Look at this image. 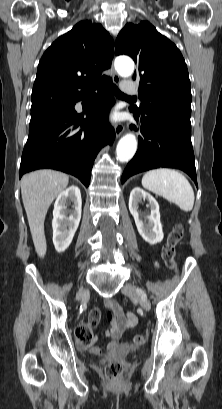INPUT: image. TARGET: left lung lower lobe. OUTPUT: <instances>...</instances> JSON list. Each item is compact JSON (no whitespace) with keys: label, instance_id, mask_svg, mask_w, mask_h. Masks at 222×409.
<instances>
[{"label":"left lung lower lobe","instance_id":"left-lung-lower-lobe-1","mask_svg":"<svg viewBox=\"0 0 222 409\" xmlns=\"http://www.w3.org/2000/svg\"><path fill=\"white\" fill-rule=\"evenodd\" d=\"M134 118H140L142 135L138 137V151L125 168L121 182L143 171L169 167L183 170L197 185L190 116L181 108L163 107L147 112L146 116L135 113Z\"/></svg>","mask_w":222,"mask_h":409}]
</instances>
